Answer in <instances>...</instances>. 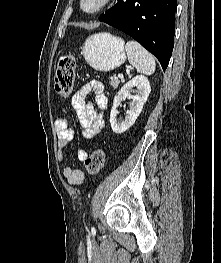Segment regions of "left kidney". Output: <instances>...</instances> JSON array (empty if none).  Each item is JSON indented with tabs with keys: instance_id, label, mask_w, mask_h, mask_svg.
Masks as SVG:
<instances>
[{
	"instance_id": "left-kidney-1",
	"label": "left kidney",
	"mask_w": 221,
	"mask_h": 263,
	"mask_svg": "<svg viewBox=\"0 0 221 263\" xmlns=\"http://www.w3.org/2000/svg\"><path fill=\"white\" fill-rule=\"evenodd\" d=\"M135 88V89H134ZM134 92L131 95L130 92ZM151 87L148 79L142 75L136 76L128 81L114 97L113 107L110 113V124L113 132L121 134L129 129L136 121L142 111L145 102L150 94ZM126 98L132 100L130 110L127 111L125 120L117 119V108Z\"/></svg>"
}]
</instances>
